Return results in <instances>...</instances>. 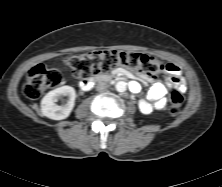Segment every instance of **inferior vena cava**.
<instances>
[{
    "label": "inferior vena cava",
    "mask_w": 222,
    "mask_h": 187,
    "mask_svg": "<svg viewBox=\"0 0 222 187\" xmlns=\"http://www.w3.org/2000/svg\"><path fill=\"white\" fill-rule=\"evenodd\" d=\"M108 87H109V84H108L107 82H105V81H99V82L97 83L96 89H97L98 91H104V90H106Z\"/></svg>",
    "instance_id": "602c4592"
}]
</instances>
